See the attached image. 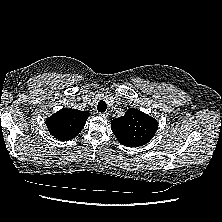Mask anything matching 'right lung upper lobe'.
<instances>
[{"mask_svg":"<svg viewBox=\"0 0 222 222\" xmlns=\"http://www.w3.org/2000/svg\"><path fill=\"white\" fill-rule=\"evenodd\" d=\"M88 117V111L63 108L47 118L46 125L51 135L56 139L68 141L81 132Z\"/></svg>","mask_w":222,"mask_h":222,"instance_id":"obj_1","label":"right lung upper lobe"}]
</instances>
